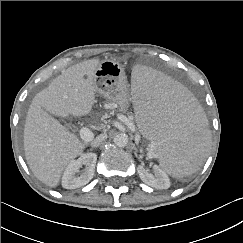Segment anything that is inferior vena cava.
I'll return each instance as SVG.
<instances>
[{"mask_svg":"<svg viewBox=\"0 0 243 243\" xmlns=\"http://www.w3.org/2000/svg\"><path fill=\"white\" fill-rule=\"evenodd\" d=\"M107 138L106 134H100L94 140H92V147H98L105 139Z\"/></svg>","mask_w":243,"mask_h":243,"instance_id":"602c4592","label":"inferior vena cava"}]
</instances>
